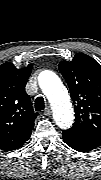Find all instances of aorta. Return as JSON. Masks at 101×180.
I'll return each mask as SVG.
<instances>
[{
    "label": "aorta",
    "mask_w": 101,
    "mask_h": 180,
    "mask_svg": "<svg viewBox=\"0 0 101 180\" xmlns=\"http://www.w3.org/2000/svg\"><path fill=\"white\" fill-rule=\"evenodd\" d=\"M39 85L48 98L56 124L62 128H69L74 119L72 103L67 89L60 78L52 71L45 70L39 74Z\"/></svg>",
    "instance_id": "obj_1"
}]
</instances>
